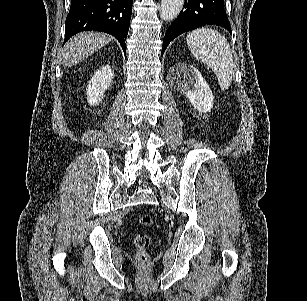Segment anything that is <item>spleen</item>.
<instances>
[{"label":"spleen","mask_w":307,"mask_h":301,"mask_svg":"<svg viewBox=\"0 0 307 301\" xmlns=\"http://www.w3.org/2000/svg\"><path fill=\"white\" fill-rule=\"evenodd\" d=\"M187 46L200 62H206L215 72L220 88L227 90L233 78V54L230 44L218 30L195 28L186 36Z\"/></svg>","instance_id":"obj_1"}]
</instances>
